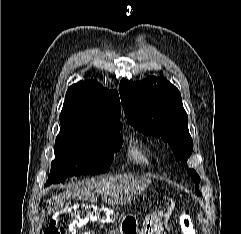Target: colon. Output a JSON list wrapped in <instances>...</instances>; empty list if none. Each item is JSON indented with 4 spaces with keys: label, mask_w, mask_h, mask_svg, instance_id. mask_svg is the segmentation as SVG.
Listing matches in <instances>:
<instances>
[{
    "label": "colon",
    "mask_w": 241,
    "mask_h": 234,
    "mask_svg": "<svg viewBox=\"0 0 241 234\" xmlns=\"http://www.w3.org/2000/svg\"><path fill=\"white\" fill-rule=\"evenodd\" d=\"M113 219L114 215L108 209L85 203L72 204L54 215L45 234H76L80 227L90 221L111 222ZM179 225L182 234H196L189 212L181 215Z\"/></svg>",
    "instance_id": "obj_1"
}]
</instances>
